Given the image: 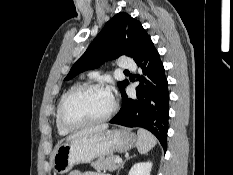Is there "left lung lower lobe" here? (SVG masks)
Listing matches in <instances>:
<instances>
[{"label":"left lung lower lobe","mask_w":233,"mask_h":175,"mask_svg":"<svg viewBox=\"0 0 233 175\" xmlns=\"http://www.w3.org/2000/svg\"><path fill=\"white\" fill-rule=\"evenodd\" d=\"M135 62L142 70V75H138L140 84L136 87V97L129 98L123 91L122 107L110 123L145 128L158 138L166 151L169 91L163 63L154 44Z\"/></svg>","instance_id":"obj_1"}]
</instances>
